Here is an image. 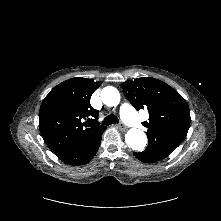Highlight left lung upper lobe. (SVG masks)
<instances>
[{"mask_svg": "<svg viewBox=\"0 0 221 221\" xmlns=\"http://www.w3.org/2000/svg\"><path fill=\"white\" fill-rule=\"evenodd\" d=\"M123 93L136 110L146 109L149 149L171 153L185 139L190 125V111L184 98L168 84L152 77L129 80L121 85Z\"/></svg>", "mask_w": 221, "mask_h": 221, "instance_id": "obj_1", "label": "left lung upper lobe"}]
</instances>
